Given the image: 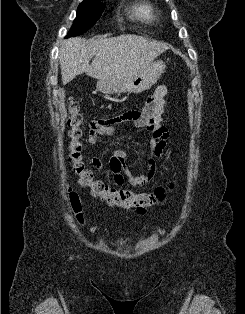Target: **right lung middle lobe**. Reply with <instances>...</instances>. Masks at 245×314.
<instances>
[{
  "label": "right lung middle lobe",
  "instance_id": "right-lung-middle-lobe-1",
  "mask_svg": "<svg viewBox=\"0 0 245 314\" xmlns=\"http://www.w3.org/2000/svg\"><path fill=\"white\" fill-rule=\"evenodd\" d=\"M104 9L101 0H84L78 6L76 19L67 36H78L86 32L101 17Z\"/></svg>",
  "mask_w": 245,
  "mask_h": 314
}]
</instances>
